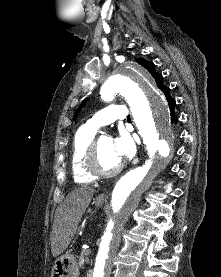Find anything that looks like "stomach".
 Here are the masks:
<instances>
[{
	"label": "stomach",
	"instance_id": "obj_1",
	"mask_svg": "<svg viewBox=\"0 0 221 277\" xmlns=\"http://www.w3.org/2000/svg\"><path fill=\"white\" fill-rule=\"evenodd\" d=\"M104 201L96 199V207H101ZM72 250L58 257L53 264L51 277H79V264Z\"/></svg>",
	"mask_w": 221,
	"mask_h": 277
}]
</instances>
